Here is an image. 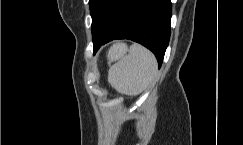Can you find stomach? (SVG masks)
I'll use <instances>...</instances> for the list:
<instances>
[{"mask_svg": "<svg viewBox=\"0 0 243 145\" xmlns=\"http://www.w3.org/2000/svg\"><path fill=\"white\" fill-rule=\"evenodd\" d=\"M115 48L118 54L124 53L126 51V46L123 44L114 45L111 49Z\"/></svg>", "mask_w": 243, "mask_h": 145, "instance_id": "0dacf381", "label": "stomach"}]
</instances>
